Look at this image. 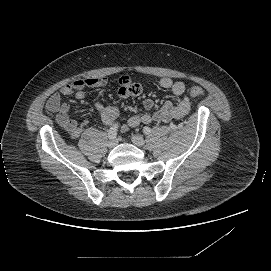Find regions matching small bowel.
<instances>
[{
    "label": "small bowel",
    "instance_id": "c3829d8e",
    "mask_svg": "<svg viewBox=\"0 0 271 271\" xmlns=\"http://www.w3.org/2000/svg\"><path fill=\"white\" fill-rule=\"evenodd\" d=\"M108 79L105 77L77 79L62 86L59 91L53 93L47 103L46 110L49 113H55L57 123L68 133L71 139H77L83 129L88 124L87 120L77 122L70 117V106L68 103L62 102V96H75L77 99H83L86 95V88H100L107 85ZM118 95L122 98L130 96L128 87L131 81L128 77L119 79ZM163 89L171 90L176 96H181L178 103L166 101L160 108L154 110V101L146 98L143 106L146 112L131 116L127 125L124 127L132 128L140 124H150L152 122H169L171 120H180L185 117L191 109V100L186 94L185 84L181 81H173L171 78L164 77L159 82ZM95 109L101 116L102 121L107 125H112L119 115L116 106L96 103Z\"/></svg>",
    "mask_w": 271,
    "mask_h": 271
}]
</instances>
